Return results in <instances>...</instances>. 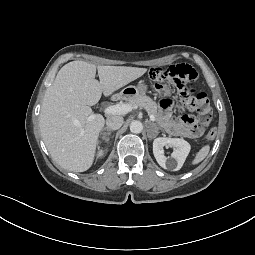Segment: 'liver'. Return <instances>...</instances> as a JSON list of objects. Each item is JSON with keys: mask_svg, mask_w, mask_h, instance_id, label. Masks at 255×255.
<instances>
[{"mask_svg": "<svg viewBox=\"0 0 255 255\" xmlns=\"http://www.w3.org/2000/svg\"><path fill=\"white\" fill-rule=\"evenodd\" d=\"M96 68L99 80L95 79ZM146 68L95 66L82 60L64 65L46 90L39 116L42 139L52 157L69 171L84 172L94 161L105 119L90 106L141 77Z\"/></svg>", "mask_w": 255, "mask_h": 255, "instance_id": "1", "label": "liver"}]
</instances>
